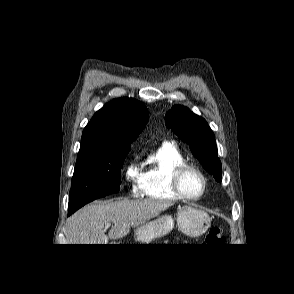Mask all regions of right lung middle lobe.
I'll return each mask as SVG.
<instances>
[{
    "instance_id": "obj_1",
    "label": "right lung middle lobe",
    "mask_w": 294,
    "mask_h": 294,
    "mask_svg": "<svg viewBox=\"0 0 294 294\" xmlns=\"http://www.w3.org/2000/svg\"><path fill=\"white\" fill-rule=\"evenodd\" d=\"M130 149L93 148L79 150L69 196V208L117 193L121 168Z\"/></svg>"
}]
</instances>
